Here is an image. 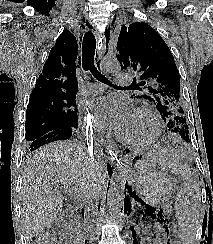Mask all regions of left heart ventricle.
I'll list each match as a JSON object with an SVG mask.
<instances>
[{"label": "left heart ventricle", "mask_w": 213, "mask_h": 244, "mask_svg": "<svg viewBox=\"0 0 213 244\" xmlns=\"http://www.w3.org/2000/svg\"><path fill=\"white\" fill-rule=\"evenodd\" d=\"M152 132L153 125L150 119L143 114L133 113L121 135L131 140H139L150 136Z\"/></svg>", "instance_id": "left-heart-ventricle-1"}]
</instances>
